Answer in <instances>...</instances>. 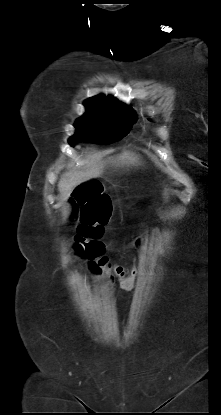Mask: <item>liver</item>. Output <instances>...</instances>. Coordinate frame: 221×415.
I'll list each match as a JSON object with an SVG mask.
<instances>
[{
  "mask_svg": "<svg viewBox=\"0 0 221 415\" xmlns=\"http://www.w3.org/2000/svg\"><path fill=\"white\" fill-rule=\"evenodd\" d=\"M92 157V156H91ZM139 158L132 152L124 151L120 155L116 157H111L107 161L98 160L94 161L91 160L90 165L80 171H69L62 174L59 182H58V190L60 193V199L62 201H66L73 190V188L87 180L92 178L100 177L103 174L104 168L108 163L116 165V166H125V165H137L139 164Z\"/></svg>",
  "mask_w": 221,
  "mask_h": 415,
  "instance_id": "liver-1",
  "label": "liver"
}]
</instances>
